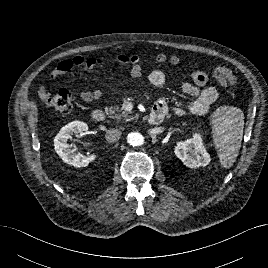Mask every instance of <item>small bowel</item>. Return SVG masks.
Listing matches in <instances>:
<instances>
[{
  "mask_svg": "<svg viewBox=\"0 0 268 268\" xmlns=\"http://www.w3.org/2000/svg\"><path fill=\"white\" fill-rule=\"evenodd\" d=\"M118 61L122 64L131 65L130 74L132 78L139 79L143 75V67L141 59L137 55H120ZM104 63L99 57L96 56H74L64 59L58 63L54 71L51 73V78L64 75L74 68H79L85 73L93 74L98 69L102 68ZM150 84L155 87H162L166 83V74L161 70H153L148 75ZM208 76L202 71H195L192 74L191 82H184L182 84V91L186 95L193 98L189 104L188 111L194 115H203L207 113L218 99V91L215 87L207 85ZM47 89L42 85L38 94L41 99L47 94ZM103 91L100 87L94 90H85L81 93V98L85 102H92L102 97ZM173 110L183 115L186 110L180 106H174ZM153 111L168 112V105L164 99H160L153 107Z\"/></svg>",
  "mask_w": 268,
  "mask_h": 268,
  "instance_id": "small-bowel-1",
  "label": "small bowel"
}]
</instances>
